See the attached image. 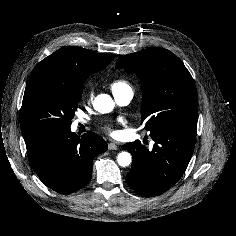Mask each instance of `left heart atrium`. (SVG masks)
I'll list each match as a JSON object with an SVG mask.
<instances>
[{
	"mask_svg": "<svg viewBox=\"0 0 236 236\" xmlns=\"http://www.w3.org/2000/svg\"><path fill=\"white\" fill-rule=\"evenodd\" d=\"M106 129H107L110 133H112V134L115 133V131L112 129L111 126H107Z\"/></svg>",
	"mask_w": 236,
	"mask_h": 236,
	"instance_id": "obj_1",
	"label": "left heart atrium"
}]
</instances>
